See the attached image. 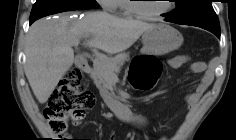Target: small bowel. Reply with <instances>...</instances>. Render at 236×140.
<instances>
[{"instance_id": "c3829d8e", "label": "small bowel", "mask_w": 236, "mask_h": 140, "mask_svg": "<svg viewBox=\"0 0 236 140\" xmlns=\"http://www.w3.org/2000/svg\"><path fill=\"white\" fill-rule=\"evenodd\" d=\"M187 63H190L191 69L194 72L203 73V76L201 77L195 90L189 93L186 97L187 109L189 112H193L200 98L210 86L214 76L213 72L207 70L206 64L204 62L201 61L191 62V58L187 55H178L168 60V65L172 68H179ZM133 120L140 126H146L148 123V121L141 116H136L133 118ZM159 140H167V139L162 137Z\"/></svg>"}]
</instances>
